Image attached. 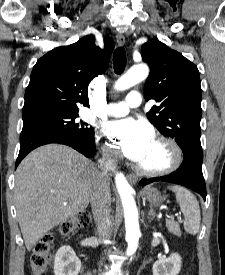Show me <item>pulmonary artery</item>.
<instances>
[{
	"label": "pulmonary artery",
	"instance_id": "pulmonary-artery-1",
	"mask_svg": "<svg viewBox=\"0 0 225 275\" xmlns=\"http://www.w3.org/2000/svg\"><path fill=\"white\" fill-rule=\"evenodd\" d=\"M142 96L138 91L129 92L125 101L110 103L106 112L111 116H123L129 112L130 108H136L141 105Z\"/></svg>",
	"mask_w": 225,
	"mask_h": 275
}]
</instances>
